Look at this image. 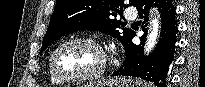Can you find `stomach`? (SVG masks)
I'll use <instances>...</instances> for the list:
<instances>
[{
	"mask_svg": "<svg viewBox=\"0 0 205 87\" xmlns=\"http://www.w3.org/2000/svg\"><path fill=\"white\" fill-rule=\"evenodd\" d=\"M82 87H144V85L138 80L119 77L102 82L86 84Z\"/></svg>",
	"mask_w": 205,
	"mask_h": 87,
	"instance_id": "0dacf381",
	"label": "stomach"
}]
</instances>
